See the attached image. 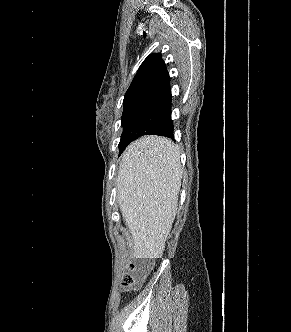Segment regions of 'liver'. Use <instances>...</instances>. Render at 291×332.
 Here are the masks:
<instances>
[{
    "mask_svg": "<svg viewBox=\"0 0 291 332\" xmlns=\"http://www.w3.org/2000/svg\"><path fill=\"white\" fill-rule=\"evenodd\" d=\"M181 179L179 147L168 138L144 136L124 151L117 199L135 257L162 256L176 215Z\"/></svg>",
    "mask_w": 291,
    "mask_h": 332,
    "instance_id": "6515ba94",
    "label": "liver"
}]
</instances>
